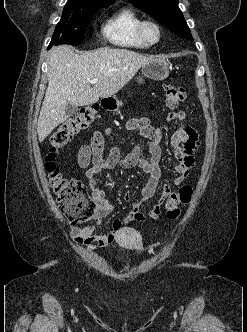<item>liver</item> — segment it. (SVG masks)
Here are the masks:
<instances>
[{
  "instance_id": "1",
  "label": "liver",
  "mask_w": 247,
  "mask_h": 332,
  "mask_svg": "<svg viewBox=\"0 0 247 332\" xmlns=\"http://www.w3.org/2000/svg\"><path fill=\"white\" fill-rule=\"evenodd\" d=\"M153 56L126 49L102 48L77 54L72 47L61 45L50 53L48 87L37 124L40 142L68 116V104L86 106L99 98H108L121 90ZM97 79L92 87L90 80Z\"/></svg>"
}]
</instances>
